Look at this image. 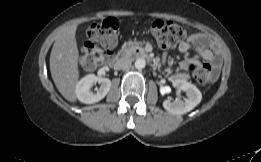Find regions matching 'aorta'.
Returning a JSON list of instances; mask_svg holds the SVG:
<instances>
[{
  "label": "aorta",
  "mask_w": 261,
  "mask_h": 162,
  "mask_svg": "<svg viewBox=\"0 0 261 162\" xmlns=\"http://www.w3.org/2000/svg\"><path fill=\"white\" fill-rule=\"evenodd\" d=\"M146 66V61L143 59V58H138L136 61H135V68L136 69H143L144 67Z\"/></svg>",
  "instance_id": "aorta-1"
}]
</instances>
